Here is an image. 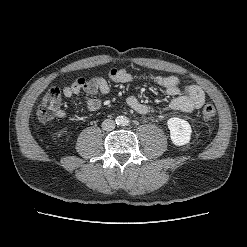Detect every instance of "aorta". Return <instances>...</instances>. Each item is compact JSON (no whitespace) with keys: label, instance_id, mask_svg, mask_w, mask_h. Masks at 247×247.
Instances as JSON below:
<instances>
[{"label":"aorta","instance_id":"obj_1","mask_svg":"<svg viewBox=\"0 0 247 247\" xmlns=\"http://www.w3.org/2000/svg\"><path fill=\"white\" fill-rule=\"evenodd\" d=\"M125 122H126V118H123V117L119 118L118 120V123L120 124H124Z\"/></svg>","mask_w":247,"mask_h":247}]
</instances>
